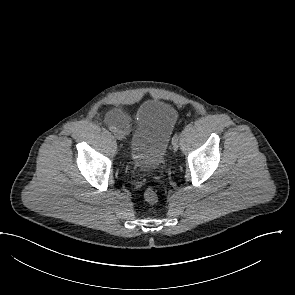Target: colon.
I'll return each instance as SVG.
<instances>
[{"instance_id": "colon-1", "label": "colon", "mask_w": 295, "mask_h": 295, "mask_svg": "<svg viewBox=\"0 0 295 295\" xmlns=\"http://www.w3.org/2000/svg\"><path fill=\"white\" fill-rule=\"evenodd\" d=\"M144 198L150 204H154L158 201L157 192L153 188H147L145 190Z\"/></svg>"}]
</instances>
